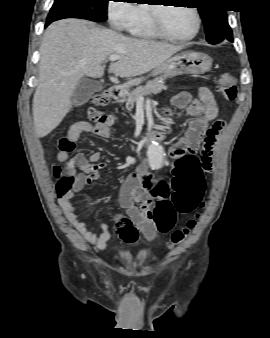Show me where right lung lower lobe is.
I'll return each instance as SVG.
<instances>
[{"instance_id": "1", "label": "right lung lower lobe", "mask_w": 270, "mask_h": 338, "mask_svg": "<svg viewBox=\"0 0 270 338\" xmlns=\"http://www.w3.org/2000/svg\"><path fill=\"white\" fill-rule=\"evenodd\" d=\"M50 23H51V22H47V23L45 24V26H48Z\"/></svg>"}]
</instances>
